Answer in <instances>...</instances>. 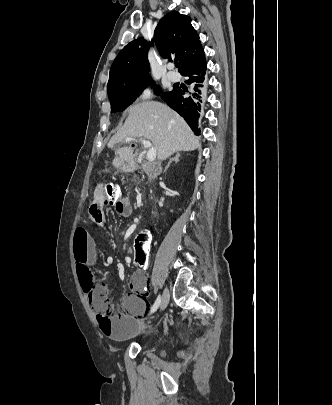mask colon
Returning <instances> with one entry per match:
<instances>
[{
	"mask_svg": "<svg viewBox=\"0 0 332 405\" xmlns=\"http://www.w3.org/2000/svg\"><path fill=\"white\" fill-rule=\"evenodd\" d=\"M105 185L106 197L103 199L106 202L107 208H114V203L122 196V186L120 184H108ZM99 190V188L97 189ZM99 218V217H98ZM151 237L146 232H141L137 237L135 243V257L133 263L134 270H145L147 260L150 257L149 245L151 244ZM95 311H110L112 307V301L109 292L105 286H96L95 292H87ZM94 320L96 317L94 315Z\"/></svg>",
	"mask_w": 332,
	"mask_h": 405,
	"instance_id": "5ec220e1",
	"label": "colon"
}]
</instances>
